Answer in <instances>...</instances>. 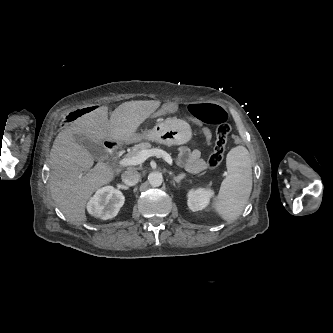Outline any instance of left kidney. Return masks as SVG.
<instances>
[{"instance_id":"left-kidney-1","label":"left kidney","mask_w":333,"mask_h":333,"mask_svg":"<svg viewBox=\"0 0 333 333\" xmlns=\"http://www.w3.org/2000/svg\"><path fill=\"white\" fill-rule=\"evenodd\" d=\"M214 194V191L209 188H198L190 190L188 193V206L192 211L202 210L209 202V198Z\"/></svg>"}]
</instances>
